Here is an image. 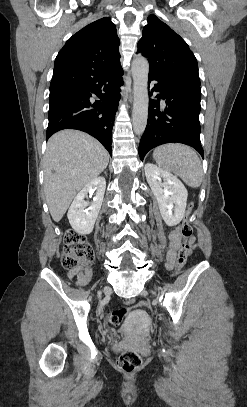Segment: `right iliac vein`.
<instances>
[{
    "label": "right iliac vein",
    "mask_w": 247,
    "mask_h": 407,
    "mask_svg": "<svg viewBox=\"0 0 247 407\" xmlns=\"http://www.w3.org/2000/svg\"><path fill=\"white\" fill-rule=\"evenodd\" d=\"M104 290H105V291H108V290H109V288H108V287H105V288H104Z\"/></svg>",
    "instance_id": "63e3f726"
}]
</instances>
